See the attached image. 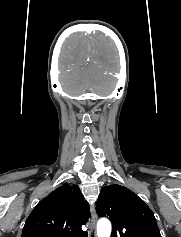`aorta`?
Listing matches in <instances>:
<instances>
[{"mask_svg":"<svg viewBox=\"0 0 181 237\" xmlns=\"http://www.w3.org/2000/svg\"><path fill=\"white\" fill-rule=\"evenodd\" d=\"M111 235V223L108 219L102 218L97 223V236L98 237H110Z\"/></svg>","mask_w":181,"mask_h":237,"instance_id":"762f6f07","label":"aorta"}]
</instances>
